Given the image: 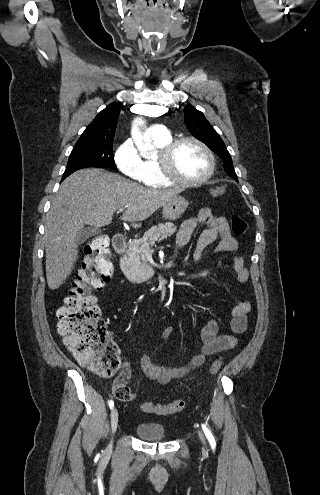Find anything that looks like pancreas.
Instances as JSON below:
<instances>
[{"label": "pancreas", "instance_id": "obj_1", "mask_svg": "<svg viewBox=\"0 0 320 495\" xmlns=\"http://www.w3.org/2000/svg\"><path fill=\"white\" fill-rule=\"evenodd\" d=\"M173 223L159 224L145 232L143 238L129 241L126 254L120 260V267L127 279L132 283L143 281V271L148 268L146 250L157 241L166 239L176 232Z\"/></svg>", "mask_w": 320, "mask_h": 495}]
</instances>
